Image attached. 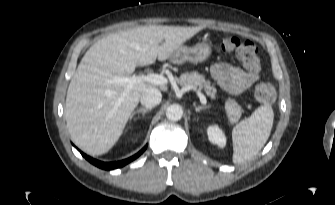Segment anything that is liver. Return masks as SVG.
Returning <instances> with one entry per match:
<instances>
[{"label":"liver","instance_id":"1","mask_svg":"<svg viewBox=\"0 0 335 205\" xmlns=\"http://www.w3.org/2000/svg\"><path fill=\"white\" fill-rule=\"evenodd\" d=\"M202 27L141 26L110 34L85 53L66 96L65 119L74 143L89 155L108 152L121 136L141 94L152 85L115 82L137 66L172 59ZM167 90L165 85L160 86Z\"/></svg>","mask_w":335,"mask_h":205}]
</instances>
